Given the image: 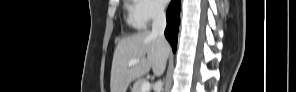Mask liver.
Here are the masks:
<instances>
[{
    "instance_id": "1",
    "label": "liver",
    "mask_w": 296,
    "mask_h": 92,
    "mask_svg": "<svg viewBox=\"0 0 296 92\" xmlns=\"http://www.w3.org/2000/svg\"><path fill=\"white\" fill-rule=\"evenodd\" d=\"M169 53V43L152 35L149 30L122 38L113 55L111 92H126L133 80L147 74L151 68L154 75L160 76L165 69ZM132 59H139V63L129 66Z\"/></svg>"
}]
</instances>
